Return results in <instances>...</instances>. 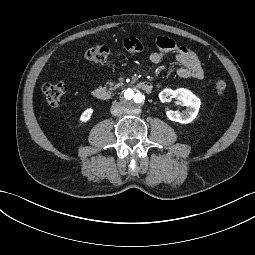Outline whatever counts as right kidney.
Masks as SVG:
<instances>
[{
  "instance_id": "right-kidney-1",
  "label": "right kidney",
  "mask_w": 255,
  "mask_h": 255,
  "mask_svg": "<svg viewBox=\"0 0 255 255\" xmlns=\"http://www.w3.org/2000/svg\"><path fill=\"white\" fill-rule=\"evenodd\" d=\"M93 112V108H88L84 110L78 119L79 125H84L85 123H87L91 119Z\"/></svg>"
}]
</instances>
